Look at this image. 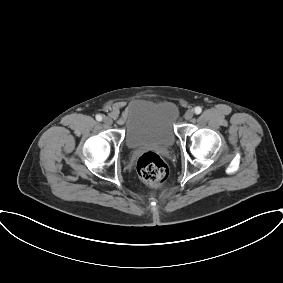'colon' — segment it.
<instances>
[{
  "label": "colon",
  "instance_id": "obj_1",
  "mask_svg": "<svg viewBox=\"0 0 283 283\" xmlns=\"http://www.w3.org/2000/svg\"><path fill=\"white\" fill-rule=\"evenodd\" d=\"M140 179L152 187L161 186L168 178L169 170L163 159L155 152H146L138 159Z\"/></svg>",
  "mask_w": 283,
  "mask_h": 283
}]
</instances>
